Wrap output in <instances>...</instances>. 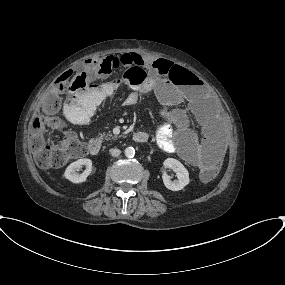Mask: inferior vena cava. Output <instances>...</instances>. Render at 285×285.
<instances>
[{"instance_id":"obj_1","label":"inferior vena cava","mask_w":285,"mask_h":285,"mask_svg":"<svg viewBox=\"0 0 285 285\" xmlns=\"http://www.w3.org/2000/svg\"><path fill=\"white\" fill-rule=\"evenodd\" d=\"M110 153L113 157H117L121 154V151L118 148H112L110 150Z\"/></svg>"}]
</instances>
